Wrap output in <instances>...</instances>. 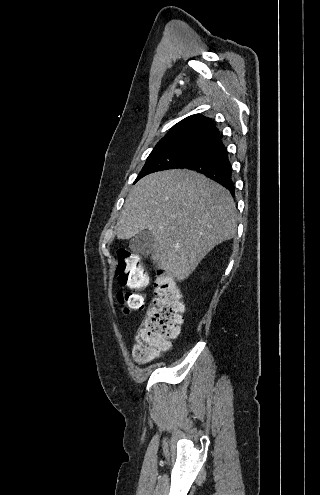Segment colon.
I'll use <instances>...</instances> for the list:
<instances>
[{
  "label": "colon",
  "instance_id": "obj_1",
  "mask_svg": "<svg viewBox=\"0 0 320 495\" xmlns=\"http://www.w3.org/2000/svg\"><path fill=\"white\" fill-rule=\"evenodd\" d=\"M116 277L121 286L130 289L117 295L124 312L128 314L143 309L144 299L138 291L145 289L149 280L135 253L124 248L118 250ZM183 312L184 303L177 285L159 276L155 282L152 304L136 335L133 358L137 363H145L168 349L170 339L180 331Z\"/></svg>",
  "mask_w": 320,
  "mask_h": 495
}]
</instances>
